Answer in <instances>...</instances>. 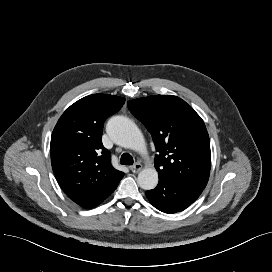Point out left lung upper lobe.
I'll list each match as a JSON object with an SVG mask.
<instances>
[{
	"label": "left lung upper lobe",
	"instance_id": "left-lung-upper-lobe-1",
	"mask_svg": "<svg viewBox=\"0 0 272 272\" xmlns=\"http://www.w3.org/2000/svg\"><path fill=\"white\" fill-rule=\"evenodd\" d=\"M127 105L152 134L159 179L182 181L203 190L209 179L211 152L201 117L172 95L139 98Z\"/></svg>",
	"mask_w": 272,
	"mask_h": 272
}]
</instances>
